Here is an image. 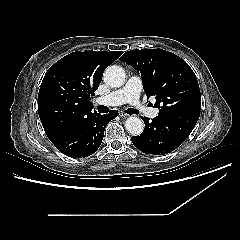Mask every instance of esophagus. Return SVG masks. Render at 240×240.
I'll return each instance as SVG.
<instances>
[{"label":"esophagus","instance_id":"34e87169","mask_svg":"<svg viewBox=\"0 0 240 240\" xmlns=\"http://www.w3.org/2000/svg\"><path fill=\"white\" fill-rule=\"evenodd\" d=\"M119 116L128 117L129 115L127 113H125L124 111H119Z\"/></svg>","mask_w":240,"mask_h":240}]
</instances>
